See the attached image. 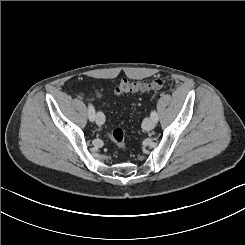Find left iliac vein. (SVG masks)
Segmentation results:
<instances>
[{
	"label": "left iliac vein",
	"mask_w": 245,
	"mask_h": 245,
	"mask_svg": "<svg viewBox=\"0 0 245 245\" xmlns=\"http://www.w3.org/2000/svg\"><path fill=\"white\" fill-rule=\"evenodd\" d=\"M155 127V121H153L151 118H146L143 122V128L146 131H150Z\"/></svg>",
	"instance_id": "4c4485c4"
}]
</instances>
